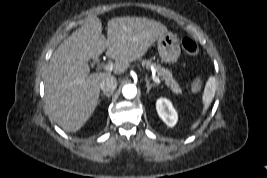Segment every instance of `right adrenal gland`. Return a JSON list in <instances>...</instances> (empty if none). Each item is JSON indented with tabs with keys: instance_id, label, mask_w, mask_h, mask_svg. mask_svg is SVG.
<instances>
[{
	"instance_id": "obj_1",
	"label": "right adrenal gland",
	"mask_w": 267,
	"mask_h": 178,
	"mask_svg": "<svg viewBox=\"0 0 267 178\" xmlns=\"http://www.w3.org/2000/svg\"><path fill=\"white\" fill-rule=\"evenodd\" d=\"M111 95H112V93H103V94H101V96H106V97H108V98H110Z\"/></svg>"
}]
</instances>
